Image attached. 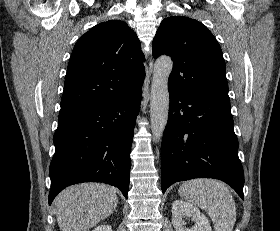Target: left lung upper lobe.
I'll list each match as a JSON object with an SVG mask.
<instances>
[{
    "label": "left lung upper lobe",
    "instance_id": "5c2ea615",
    "mask_svg": "<svg viewBox=\"0 0 280 231\" xmlns=\"http://www.w3.org/2000/svg\"><path fill=\"white\" fill-rule=\"evenodd\" d=\"M154 58L166 54L173 69L168 86L230 102L220 45L200 22L181 16L165 18L153 40Z\"/></svg>",
    "mask_w": 280,
    "mask_h": 231
}]
</instances>
